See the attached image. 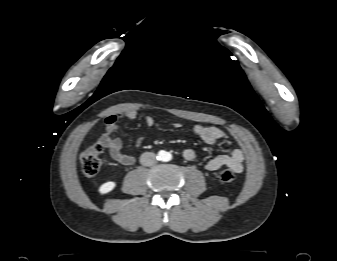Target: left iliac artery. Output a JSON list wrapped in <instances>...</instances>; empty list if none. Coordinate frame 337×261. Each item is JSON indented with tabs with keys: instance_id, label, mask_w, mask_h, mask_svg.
<instances>
[{
	"instance_id": "44dca946",
	"label": "left iliac artery",
	"mask_w": 337,
	"mask_h": 261,
	"mask_svg": "<svg viewBox=\"0 0 337 261\" xmlns=\"http://www.w3.org/2000/svg\"><path fill=\"white\" fill-rule=\"evenodd\" d=\"M172 158L171 154H167L166 160H170Z\"/></svg>"
}]
</instances>
